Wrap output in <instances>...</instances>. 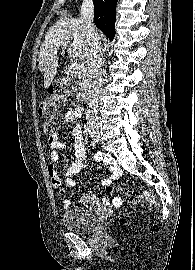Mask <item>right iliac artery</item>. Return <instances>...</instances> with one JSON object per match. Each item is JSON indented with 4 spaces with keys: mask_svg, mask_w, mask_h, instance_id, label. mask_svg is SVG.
I'll return each instance as SVG.
<instances>
[{
    "mask_svg": "<svg viewBox=\"0 0 195 270\" xmlns=\"http://www.w3.org/2000/svg\"><path fill=\"white\" fill-rule=\"evenodd\" d=\"M91 146H93V148L96 146L94 141H91Z\"/></svg>",
    "mask_w": 195,
    "mask_h": 270,
    "instance_id": "1",
    "label": "right iliac artery"
}]
</instances>
